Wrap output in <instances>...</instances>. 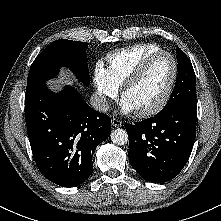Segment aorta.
<instances>
[{
	"instance_id": "1",
	"label": "aorta",
	"mask_w": 221,
	"mask_h": 221,
	"mask_svg": "<svg viewBox=\"0 0 221 221\" xmlns=\"http://www.w3.org/2000/svg\"><path fill=\"white\" fill-rule=\"evenodd\" d=\"M111 141L117 145H124L128 142V134L124 129H115L111 132Z\"/></svg>"
}]
</instances>
